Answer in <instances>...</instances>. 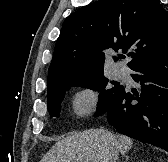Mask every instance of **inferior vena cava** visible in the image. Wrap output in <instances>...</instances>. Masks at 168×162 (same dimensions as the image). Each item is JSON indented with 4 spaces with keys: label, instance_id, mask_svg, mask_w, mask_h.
<instances>
[{
    "label": "inferior vena cava",
    "instance_id": "602c4592",
    "mask_svg": "<svg viewBox=\"0 0 168 162\" xmlns=\"http://www.w3.org/2000/svg\"><path fill=\"white\" fill-rule=\"evenodd\" d=\"M118 156H119V152L117 148H113L111 162H116V160H118Z\"/></svg>",
    "mask_w": 168,
    "mask_h": 162
}]
</instances>
